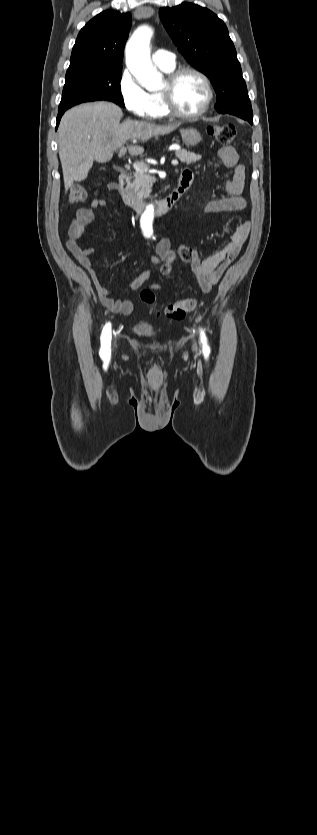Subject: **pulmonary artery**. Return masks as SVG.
Returning <instances> with one entry per match:
<instances>
[{
    "instance_id": "pulmonary-artery-1",
    "label": "pulmonary artery",
    "mask_w": 317,
    "mask_h": 835,
    "mask_svg": "<svg viewBox=\"0 0 317 835\" xmlns=\"http://www.w3.org/2000/svg\"><path fill=\"white\" fill-rule=\"evenodd\" d=\"M152 60L159 68L171 69L175 67V55L164 49L156 50L152 54Z\"/></svg>"
}]
</instances>
